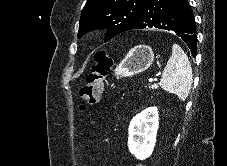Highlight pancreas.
<instances>
[{
	"label": "pancreas",
	"mask_w": 227,
	"mask_h": 166,
	"mask_svg": "<svg viewBox=\"0 0 227 166\" xmlns=\"http://www.w3.org/2000/svg\"><path fill=\"white\" fill-rule=\"evenodd\" d=\"M149 88H151V89H157L156 86H150Z\"/></svg>",
	"instance_id": "obj_1"
}]
</instances>
